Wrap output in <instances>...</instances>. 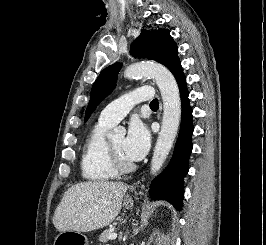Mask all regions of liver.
Listing matches in <instances>:
<instances>
[{
	"instance_id": "6515ba94",
	"label": "liver",
	"mask_w": 266,
	"mask_h": 245,
	"mask_svg": "<svg viewBox=\"0 0 266 245\" xmlns=\"http://www.w3.org/2000/svg\"><path fill=\"white\" fill-rule=\"evenodd\" d=\"M129 187L124 183L88 181L77 183L64 193L53 217L59 233L80 231L88 233L107 227L119 215L122 199Z\"/></svg>"
}]
</instances>
